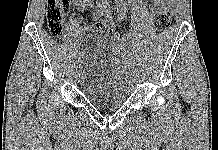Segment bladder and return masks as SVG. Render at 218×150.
I'll list each match as a JSON object with an SVG mask.
<instances>
[{"label": "bladder", "mask_w": 218, "mask_h": 150, "mask_svg": "<svg viewBox=\"0 0 218 150\" xmlns=\"http://www.w3.org/2000/svg\"><path fill=\"white\" fill-rule=\"evenodd\" d=\"M79 83L87 100L98 108H119L132 92V79L124 65L119 43L103 35L88 39Z\"/></svg>", "instance_id": "bladder-1"}]
</instances>
